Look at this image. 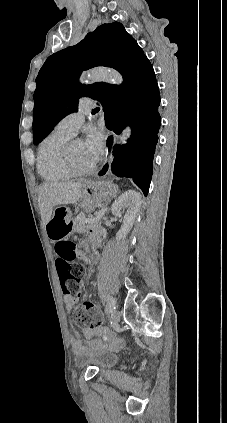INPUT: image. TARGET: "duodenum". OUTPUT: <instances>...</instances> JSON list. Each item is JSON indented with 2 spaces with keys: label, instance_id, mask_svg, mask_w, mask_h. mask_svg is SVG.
Listing matches in <instances>:
<instances>
[{
  "label": "duodenum",
  "instance_id": "1",
  "mask_svg": "<svg viewBox=\"0 0 227 423\" xmlns=\"http://www.w3.org/2000/svg\"><path fill=\"white\" fill-rule=\"evenodd\" d=\"M93 249L95 250V252H96V253H98V252H99V250H100V248H99V247H97V246H95Z\"/></svg>",
  "mask_w": 227,
  "mask_h": 423
}]
</instances>
